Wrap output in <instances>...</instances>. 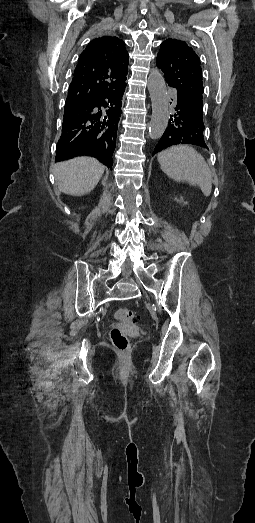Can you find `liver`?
<instances>
[{
    "label": "liver",
    "instance_id": "1",
    "mask_svg": "<svg viewBox=\"0 0 255 523\" xmlns=\"http://www.w3.org/2000/svg\"><path fill=\"white\" fill-rule=\"evenodd\" d=\"M103 164L96 158H73L54 166L58 188L68 196H85L94 190L104 174Z\"/></svg>",
    "mask_w": 255,
    "mask_h": 523
}]
</instances>
